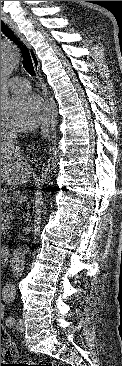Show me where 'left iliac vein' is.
Masks as SVG:
<instances>
[{"instance_id":"1","label":"left iliac vein","mask_w":122,"mask_h":366,"mask_svg":"<svg viewBox=\"0 0 122 366\" xmlns=\"http://www.w3.org/2000/svg\"><path fill=\"white\" fill-rule=\"evenodd\" d=\"M15 327H16L17 331L23 332L24 331L23 321L21 319H18Z\"/></svg>"}]
</instances>
